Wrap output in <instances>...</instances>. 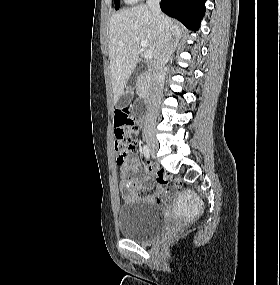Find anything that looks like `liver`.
<instances>
[{
    "label": "liver",
    "mask_w": 280,
    "mask_h": 285,
    "mask_svg": "<svg viewBox=\"0 0 280 285\" xmlns=\"http://www.w3.org/2000/svg\"><path fill=\"white\" fill-rule=\"evenodd\" d=\"M169 31L179 39V25L165 16ZM146 40L155 56L157 30L153 13L147 5H138L114 14L109 26V60L113 85V102H117L131 74L136 68L140 41Z\"/></svg>",
    "instance_id": "6515ba94"
}]
</instances>
